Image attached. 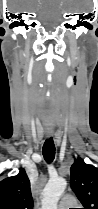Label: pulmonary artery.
I'll list each match as a JSON object with an SVG mask.
<instances>
[{
	"label": "pulmonary artery",
	"mask_w": 98,
	"mask_h": 209,
	"mask_svg": "<svg viewBox=\"0 0 98 209\" xmlns=\"http://www.w3.org/2000/svg\"><path fill=\"white\" fill-rule=\"evenodd\" d=\"M76 205V199L71 195H65L59 205L58 209H70Z\"/></svg>",
	"instance_id": "obj_1"
}]
</instances>
